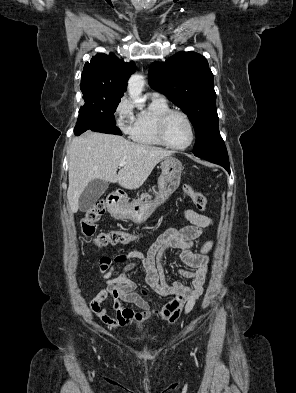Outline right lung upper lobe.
Returning <instances> with one entry per match:
<instances>
[{
	"mask_svg": "<svg viewBox=\"0 0 296 393\" xmlns=\"http://www.w3.org/2000/svg\"><path fill=\"white\" fill-rule=\"evenodd\" d=\"M133 61L125 63L113 53H103L86 62L80 83L85 99L122 97L126 91L127 81L135 71Z\"/></svg>",
	"mask_w": 296,
	"mask_h": 393,
	"instance_id": "obj_1",
	"label": "right lung upper lobe"
}]
</instances>
